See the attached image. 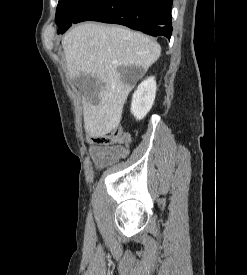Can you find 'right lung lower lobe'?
Wrapping results in <instances>:
<instances>
[{
	"instance_id": "obj_1",
	"label": "right lung lower lobe",
	"mask_w": 247,
	"mask_h": 275,
	"mask_svg": "<svg viewBox=\"0 0 247 275\" xmlns=\"http://www.w3.org/2000/svg\"><path fill=\"white\" fill-rule=\"evenodd\" d=\"M171 8L172 0H99L87 8L74 23L89 20L115 23L170 39Z\"/></svg>"
}]
</instances>
